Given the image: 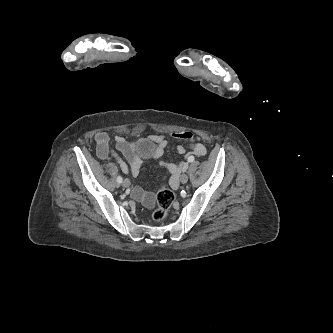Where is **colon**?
<instances>
[{
  "instance_id": "colon-1",
  "label": "colon",
  "mask_w": 333,
  "mask_h": 333,
  "mask_svg": "<svg viewBox=\"0 0 333 333\" xmlns=\"http://www.w3.org/2000/svg\"><path fill=\"white\" fill-rule=\"evenodd\" d=\"M174 200V193L162 187L157 194V208L153 213V219L158 222L165 220Z\"/></svg>"
}]
</instances>
